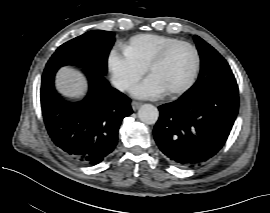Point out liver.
Returning a JSON list of instances; mask_svg holds the SVG:
<instances>
[{
	"label": "liver",
	"instance_id": "1",
	"mask_svg": "<svg viewBox=\"0 0 270 213\" xmlns=\"http://www.w3.org/2000/svg\"><path fill=\"white\" fill-rule=\"evenodd\" d=\"M56 86L63 95L76 98L83 96L87 88L84 77L70 67L62 68L59 71Z\"/></svg>",
	"mask_w": 270,
	"mask_h": 213
}]
</instances>
